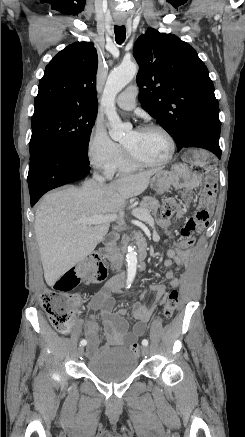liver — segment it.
Wrapping results in <instances>:
<instances>
[{"mask_svg":"<svg viewBox=\"0 0 245 437\" xmlns=\"http://www.w3.org/2000/svg\"><path fill=\"white\" fill-rule=\"evenodd\" d=\"M157 170L124 176L110 184L88 180L46 195L35 213L34 229L44 278L49 286L91 254L108 231L109 221L91 225L77 220L118 212L128 198L142 194Z\"/></svg>","mask_w":245,"mask_h":437,"instance_id":"1","label":"liver"}]
</instances>
